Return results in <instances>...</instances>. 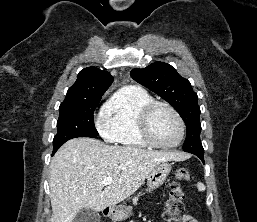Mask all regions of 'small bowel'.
Masks as SVG:
<instances>
[{
	"instance_id": "c3829d8e",
	"label": "small bowel",
	"mask_w": 257,
	"mask_h": 222,
	"mask_svg": "<svg viewBox=\"0 0 257 222\" xmlns=\"http://www.w3.org/2000/svg\"><path fill=\"white\" fill-rule=\"evenodd\" d=\"M181 222H197V220L191 215H184Z\"/></svg>"
}]
</instances>
